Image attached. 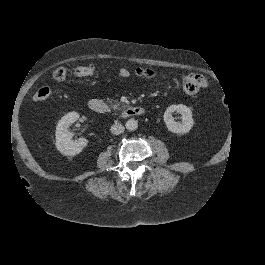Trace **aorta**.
I'll use <instances>...</instances> for the list:
<instances>
[{
    "label": "aorta",
    "instance_id": "1",
    "mask_svg": "<svg viewBox=\"0 0 265 265\" xmlns=\"http://www.w3.org/2000/svg\"><path fill=\"white\" fill-rule=\"evenodd\" d=\"M125 126H126V129L130 131H134L138 128V122L137 120L131 118L126 122Z\"/></svg>",
    "mask_w": 265,
    "mask_h": 265
}]
</instances>
